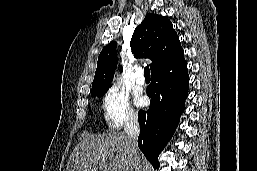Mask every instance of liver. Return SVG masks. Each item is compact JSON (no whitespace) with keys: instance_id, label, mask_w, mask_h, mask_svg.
I'll list each match as a JSON object with an SVG mask.
<instances>
[{"instance_id":"liver-1","label":"liver","mask_w":257,"mask_h":171,"mask_svg":"<svg viewBox=\"0 0 257 171\" xmlns=\"http://www.w3.org/2000/svg\"><path fill=\"white\" fill-rule=\"evenodd\" d=\"M66 171H132L128 136L116 132L84 134L69 157Z\"/></svg>"}]
</instances>
